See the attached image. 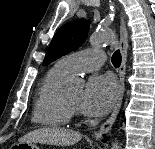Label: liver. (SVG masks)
Listing matches in <instances>:
<instances>
[{
	"instance_id": "6515ba94",
	"label": "liver",
	"mask_w": 155,
	"mask_h": 149,
	"mask_svg": "<svg viewBox=\"0 0 155 149\" xmlns=\"http://www.w3.org/2000/svg\"><path fill=\"white\" fill-rule=\"evenodd\" d=\"M81 139L82 135L77 131L59 127H46L27 133L21 137L19 142L71 146L79 142Z\"/></svg>"
}]
</instances>
